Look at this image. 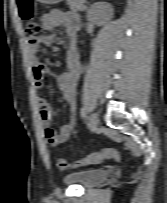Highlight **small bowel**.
<instances>
[{"instance_id":"1","label":"small bowel","mask_w":167,"mask_h":203,"mask_svg":"<svg viewBox=\"0 0 167 203\" xmlns=\"http://www.w3.org/2000/svg\"><path fill=\"white\" fill-rule=\"evenodd\" d=\"M42 26L45 31L52 32L62 27L68 37L66 53L67 71L56 77L64 100L70 105V110L61 128L56 131L50 123L55 114L54 109L44 99L37 100L40 120L43 124V137L51 147L65 143L76 126V89L82 71V62L77 49V33L80 26V18L72 12L53 10L42 18ZM51 36L41 35L26 40V46L32 65L33 82L36 89L43 88L46 77L52 75L50 68L38 58V52L42 45L50 44Z\"/></svg>"}]
</instances>
